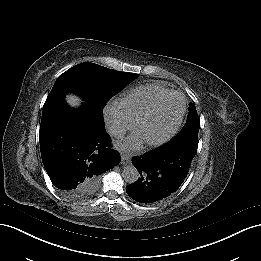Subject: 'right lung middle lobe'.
<instances>
[{
	"label": "right lung middle lobe",
	"mask_w": 261,
	"mask_h": 261,
	"mask_svg": "<svg viewBox=\"0 0 261 261\" xmlns=\"http://www.w3.org/2000/svg\"><path fill=\"white\" fill-rule=\"evenodd\" d=\"M138 75L119 72L97 64L85 62L78 64L62 75L53 85L51 93L65 94L74 91L83 96L90 104L102 109L108 100L134 80ZM84 186L80 193L93 190Z\"/></svg>",
	"instance_id": "1"
}]
</instances>
